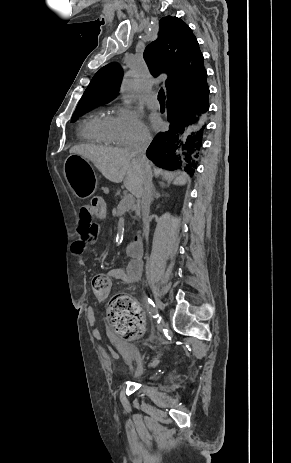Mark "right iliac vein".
I'll return each instance as SVG.
<instances>
[{"instance_id": "1", "label": "right iliac vein", "mask_w": 291, "mask_h": 463, "mask_svg": "<svg viewBox=\"0 0 291 463\" xmlns=\"http://www.w3.org/2000/svg\"><path fill=\"white\" fill-rule=\"evenodd\" d=\"M150 286H151V289L154 293V300H155V303H156V306L160 309V310H163V305H162V302L158 299V297L156 296L155 294V288L152 284V282L150 281Z\"/></svg>"}]
</instances>
